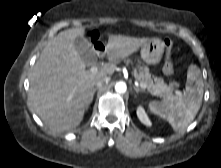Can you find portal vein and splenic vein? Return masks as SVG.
Wrapping results in <instances>:
<instances>
[{
	"instance_id": "1",
	"label": "portal vein and splenic vein",
	"mask_w": 221,
	"mask_h": 168,
	"mask_svg": "<svg viewBox=\"0 0 221 168\" xmlns=\"http://www.w3.org/2000/svg\"><path fill=\"white\" fill-rule=\"evenodd\" d=\"M98 71V67H96V66H93V67H91V69H90V72H92V73H96ZM139 86L141 87V88H143V89H146L147 88V85L145 84V83H143V82H140L139 83ZM176 94L177 95H181V92L180 91H176Z\"/></svg>"
}]
</instances>
